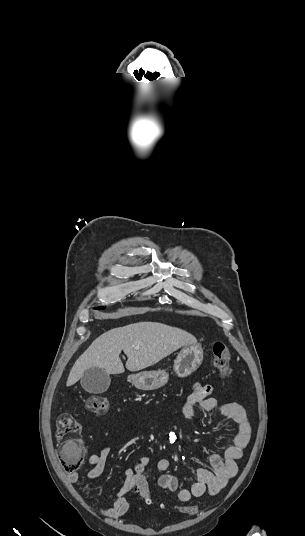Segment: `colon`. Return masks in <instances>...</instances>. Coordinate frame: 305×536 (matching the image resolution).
Here are the masks:
<instances>
[{
    "mask_svg": "<svg viewBox=\"0 0 305 536\" xmlns=\"http://www.w3.org/2000/svg\"><path fill=\"white\" fill-rule=\"evenodd\" d=\"M212 356L216 369L222 380L229 379L231 374V368L229 365V349L225 342L215 341L212 344ZM85 405L87 409L94 414H102L107 411L109 401L106 397L101 395H92L86 398ZM81 431V425L75 419V417L69 413H61L56 422V441L55 450L57 452L58 462H62L63 471H78L82 459V454L87 451V446L82 441V436L79 435ZM62 442V443H60ZM138 481L134 484L137 487L139 495L142 498L143 503L148 504L154 498V495L150 493L149 488L143 477L138 475L136 477ZM156 509L153 512H174L177 509L174 503H153ZM161 506V509H158ZM179 511L189 513L190 517L195 518L198 515L197 510L194 509L192 503H181L178 506Z\"/></svg>",
    "mask_w": 305,
    "mask_h": 536,
    "instance_id": "colon-1",
    "label": "colon"
}]
</instances>
